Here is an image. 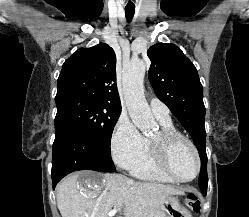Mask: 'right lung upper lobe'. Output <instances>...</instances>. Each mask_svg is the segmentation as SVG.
<instances>
[{
    "label": "right lung upper lobe",
    "instance_id": "cb5924a9",
    "mask_svg": "<svg viewBox=\"0 0 249 217\" xmlns=\"http://www.w3.org/2000/svg\"><path fill=\"white\" fill-rule=\"evenodd\" d=\"M116 56L107 44L78 49L63 64L57 95H81L120 106L116 85Z\"/></svg>",
    "mask_w": 249,
    "mask_h": 217
}]
</instances>
